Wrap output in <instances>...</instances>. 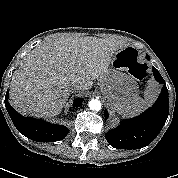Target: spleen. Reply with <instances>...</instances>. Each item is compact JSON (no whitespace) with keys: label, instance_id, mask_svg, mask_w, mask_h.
Listing matches in <instances>:
<instances>
[{"label":"spleen","instance_id":"obj_1","mask_svg":"<svg viewBox=\"0 0 178 178\" xmlns=\"http://www.w3.org/2000/svg\"><path fill=\"white\" fill-rule=\"evenodd\" d=\"M157 94L158 90L155 86H148L144 93V99L136 96L127 102L116 105L115 109L123 117L135 116L150 106L156 100Z\"/></svg>","mask_w":178,"mask_h":178}]
</instances>
